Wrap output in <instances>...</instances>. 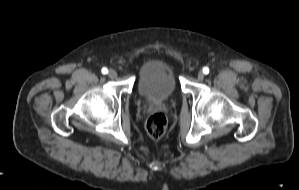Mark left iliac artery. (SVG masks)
Masks as SVG:
<instances>
[{
  "mask_svg": "<svg viewBox=\"0 0 299 190\" xmlns=\"http://www.w3.org/2000/svg\"><path fill=\"white\" fill-rule=\"evenodd\" d=\"M203 73L204 74H208L209 73V68L208 67H204L203 68Z\"/></svg>",
  "mask_w": 299,
  "mask_h": 190,
  "instance_id": "44dca946",
  "label": "left iliac artery"
}]
</instances>
